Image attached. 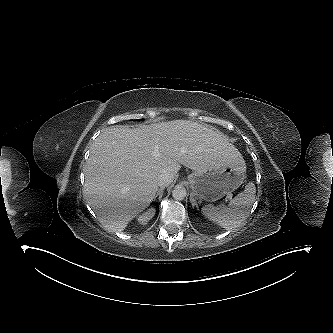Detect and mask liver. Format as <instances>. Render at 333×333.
Returning <instances> with one entry per match:
<instances>
[{
    "label": "liver",
    "instance_id": "liver-1",
    "mask_svg": "<svg viewBox=\"0 0 333 333\" xmlns=\"http://www.w3.org/2000/svg\"><path fill=\"white\" fill-rule=\"evenodd\" d=\"M239 158L225 135L196 122L173 120L136 129L111 126L91 148L84 193L99 221L121 232L153 201L160 174L174 179L181 165L205 171Z\"/></svg>",
    "mask_w": 333,
    "mask_h": 333
}]
</instances>
